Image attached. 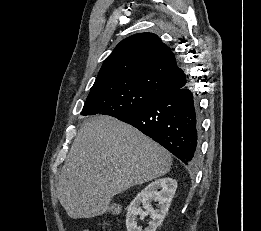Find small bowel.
I'll list each match as a JSON object with an SVG mask.
<instances>
[{
    "instance_id": "c3829d8e",
    "label": "small bowel",
    "mask_w": 261,
    "mask_h": 231,
    "mask_svg": "<svg viewBox=\"0 0 261 231\" xmlns=\"http://www.w3.org/2000/svg\"><path fill=\"white\" fill-rule=\"evenodd\" d=\"M83 231H92L91 229H84Z\"/></svg>"
}]
</instances>
